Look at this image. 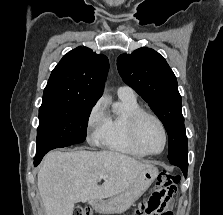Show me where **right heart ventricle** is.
Masks as SVG:
<instances>
[{
  "label": "right heart ventricle",
  "instance_id": "right-heart-ventricle-1",
  "mask_svg": "<svg viewBox=\"0 0 223 215\" xmlns=\"http://www.w3.org/2000/svg\"><path fill=\"white\" fill-rule=\"evenodd\" d=\"M120 98L119 112H106V126L101 132L98 141L108 149L124 154L141 157L130 136V124L133 116L142 110L136 97Z\"/></svg>",
  "mask_w": 223,
  "mask_h": 215
}]
</instances>
